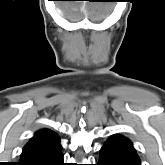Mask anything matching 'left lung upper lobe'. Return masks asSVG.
Segmentation results:
<instances>
[{
	"label": "left lung upper lobe",
	"mask_w": 165,
	"mask_h": 165,
	"mask_svg": "<svg viewBox=\"0 0 165 165\" xmlns=\"http://www.w3.org/2000/svg\"><path fill=\"white\" fill-rule=\"evenodd\" d=\"M102 148L114 153L121 161L141 165L132 143L123 136L115 135L111 137Z\"/></svg>",
	"instance_id": "1"
}]
</instances>
